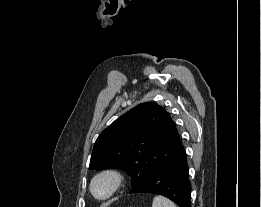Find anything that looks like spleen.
I'll return each instance as SVG.
<instances>
[{
    "label": "spleen",
    "instance_id": "obj_1",
    "mask_svg": "<svg viewBox=\"0 0 261 207\" xmlns=\"http://www.w3.org/2000/svg\"><path fill=\"white\" fill-rule=\"evenodd\" d=\"M152 207H176L175 204L163 196H156L153 199Z\"/></svg>",
    "mask_w": 261,
    "mask_h": 207
}]
</instances>
